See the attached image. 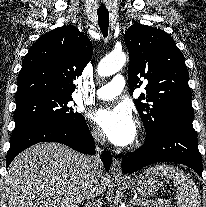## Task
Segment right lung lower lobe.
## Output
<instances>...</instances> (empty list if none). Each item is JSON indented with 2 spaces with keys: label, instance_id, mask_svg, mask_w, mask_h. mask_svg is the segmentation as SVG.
<instances>
[{
  "label": "right lung lower lobe",
  "instance_id": "right-lung-lower-lobe-1",
  "mask_svg": "<svg viewBox=\"0 0 206 207\" xmlns=\"http://www.w3.org/2000/svg\"><path fill=\"white\" fill-rule=\"evenodd\" d=\"M39 142H58L81 153L94 154V140L86 122L80 128L63 125H42L12 135L6 157V166L8 167L20 152ZM102 161L106 171H108L111 165L110 152H103Z\"/></svg>",
  "mask_w": 206,
  "mask_h": 207
}]
</instances>
